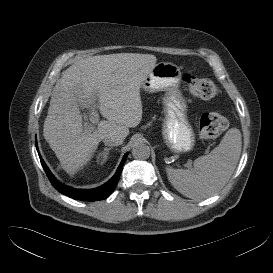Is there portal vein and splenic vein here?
<instances>
[{"instance_id": "18ae733b", "label": "portal vein and splenic vein", "mask_w": 273, "mask_h": 273, "mask_svg": "<svg viewBox=\"0 0 273 273\" xmlns=\"http://www.w3.org/2000/svg\"><path fill=\"white\" fill-rule=\"evenodd\" d=\"M89 120L93 123V124H97L99 122V115L96 111V108H91V113L89 115ZM86 129L89 131L94 130L95 126L92 124H86L85 125Z\"/></svg>"}]
</instances>
